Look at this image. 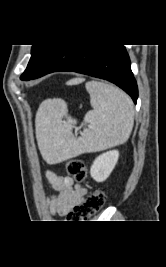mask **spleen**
<instances>
[{"label": "spleen", "mask_w": 166, "mask_h": 267, "mask_svg": "<svg viewBox=\"0 0 166 267\" xmlns=\"http://www.w3.org/2000/svg\"><path fill=\"white\" fill-rule=\"evenodd\" d=\"M93 110L87 112L89 123L80 137L72 134L76 120L67 117L64 108L50 102L42 108L36 120V137L40 152L50 163H57L83 153L97 152L125 143L134 124L132 100L113 85L90 81L86 83Z\"/></svg>", "instance_id": "3e777b00"}]
</instances>
